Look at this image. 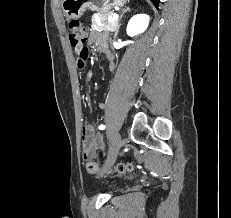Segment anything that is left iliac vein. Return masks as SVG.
Returning a JSON list of instances; mask_svg holds the SVG:
<instances>
[{
    "label": "left iliac vein",
    "mask_w": 231,
    "mask_h": 218,
    "mask_svg": "<svg viewBox=\"0 0 231 218\" xmlns=\"http://www.w3.org/2000/svg\"><path fill=\"white\" fill-rule=\"evenodd\" d=\"M123 146V141L118 132L114 133L112 138V144L108 151L107 161L104 167V171L109 169L115 162L121 147Z\"/></svg>",
    "instance_id": "left-iliac-vein-1"
}]
</instances>
